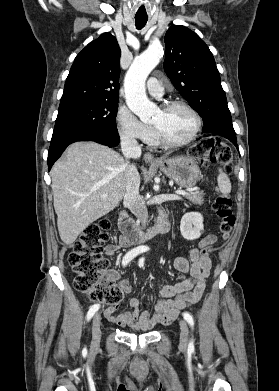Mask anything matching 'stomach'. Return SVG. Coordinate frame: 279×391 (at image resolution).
Masks as SVG:
<instances>
[{
	"label": "stomach",
	"mask_w": 279,
	"mask_h": 391,
	"mask_svg": "<svg viewBox=\"0 0 279 391\" xmlns=\"http://www.w3.org/2000/svg\"><path fill=\"white\" fill-rule=\"evenodd\" d=\"M157 166L168 178L183 188L195 186L200 177L197 163L186 156L163 157L158 161Z\"/></svg>",
	"instance_id": "obj_1"
}]
</instances>
